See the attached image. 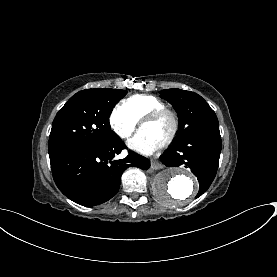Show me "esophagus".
Returning a JSON list of instances; mask_svg holds the SVG:
<instances>
[{
    "label": "esophagus",
    "instance_id": "34e87169",
    "mask_svg": "<svg viewBox=\"0 0 277 277\" xmlns=\"http://www.w3.org/2000/svg\"><path fill=\"white\" fill-rule=\"evenodd\" d=\"M151 168L153 170H159V169H163L164 165L160 163V161L157 159H151Z\"/></svg>",
    "mask_w": 277,
    "mask_h": 277
}]
</instances>
